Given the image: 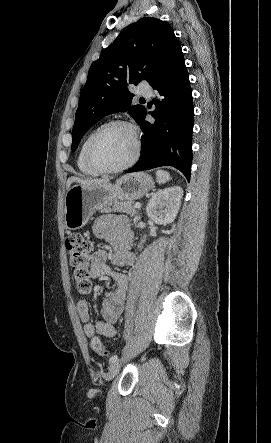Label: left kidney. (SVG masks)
<instances>
[{
	"instance_id": "1",
	"label": "left kidney",
	"mask_w": 271,
	"mask_h": 443,
	"mask_svg": "<svg viewBox=\"0 0 271 443\" xmlns=\"http://www.w3.org/2000/svg\"><path fill=\"white\" fill-rule=\"evenodd\" d=\"M183 196L182 188L172 186L159 190L152 196L147 208V216L154 223H171L174 222L181 204Z\"/></svg>"
}]
</instances>
